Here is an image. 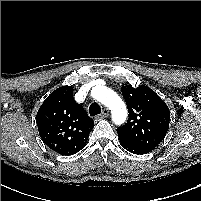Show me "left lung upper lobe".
Listing matches in <instances>:
<instances>
[{
    "label": "left lung upper lobe",
    "instance_id": "left-lung-upper-lobe-1",
    "mask_svg": "<svg viewBox=\"0 0 201 201\" xmlns=\"http://www.w3.org/2000/svg\"><path fill=\"white\" fill-rule=\"evenodd\" d=\"M121 91L128 108V121L117 128L123 140L153 150L166 136L170 111L162 99L149 87L122 86Z\"/></svg>",
    "mask_w": 201,
    "mask_h": 201
}]
</instances>
